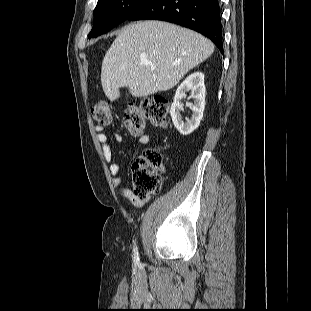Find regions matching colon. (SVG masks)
Wrapping results in <instances>:
<instances>
[{
	"label": "colon",
	"mask_w": 311,
	"mask_h": 311,
	"mask_svg": "<svg viewBox=\"0 0 311 311\" xmlns=\"http://www.w3.org/2000/svg\"><path fill=\"white\" fill-rule=\"evenodd\" d=\"M169 102L162 96L144 97L132 103L125 111L124 124L129 132L141 135L146 123L159 128L168 126ZM92 118L101 125H108L112 120L109 104L104 100L97 101L91 109ZM165 177L161 151L157 147L146 148L142 157L132 168L133 192L146 196L158 192Z\"/></svg>",
	"instance_id": "obj_1"
}]
</instances>
